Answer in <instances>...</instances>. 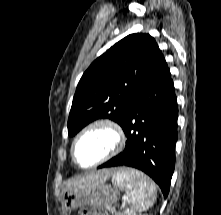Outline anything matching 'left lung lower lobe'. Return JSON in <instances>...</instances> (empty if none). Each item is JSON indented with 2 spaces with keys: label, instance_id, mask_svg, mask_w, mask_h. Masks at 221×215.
<instances>
[{
  "label": "left lung lower lobe",
  "instance_id": "0a47b994",
  "mask_svg": "<svg viewBox=\"0 0 221 215\" xmlns=\"http://www.w3.org/2000/svg\"><path fill=\"white\" fill-rule=\"evenodd\" d=\"M177 118L174 84L161 52L124 109L120 124L127 136L124 152L99 168H137L149 175L167 197L175 167Z\"/></svg>",
  "mask_w": 221,
  "mask_h": 215
}]
</instances>
